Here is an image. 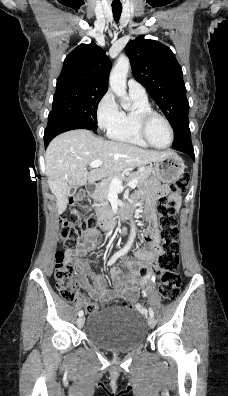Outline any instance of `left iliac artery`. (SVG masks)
<instances>
[{"label":"left iliac artery","instance_id":"obj_1","mask_svg":"<svg viewBox=\"0 0 228 396\" xmlns=\"http://www.w3.org/2000/svg\"><path fill=\"white\" fill-rule=\"evenodd\" d=\"M149 314L151 315V316H154V311H153V309L150 307L149 308Z\"/></svg>","mask_w":228,"mask_h":396}]
</instances>
